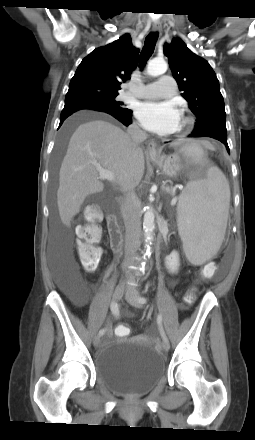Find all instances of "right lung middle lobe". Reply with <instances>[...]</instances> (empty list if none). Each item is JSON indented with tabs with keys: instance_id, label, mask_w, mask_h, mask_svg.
<instances>
[{
	"instance_id": "obj_1",
	"label": "right lung middle lobe",
	"mask_w": 255,
	"mask_h": 440,
	"mask_svg": "<svg viewBox=\"0 0 255 440\" xmlns=\"http://www.w3.org/2000/svg\"><path fill=\"white\" fill-rule=\"evenodd\" d=\"M117 95L118 94L92 93V94L83 96L79 99H65V103H72V102H77V101H87V102L104 104L106 106H110V107L115 108L117 110H128L127 108H125L123 106V104L121 102H117L115 100V97ZM67 134H68L67 131H65L62 134L60 146H62L65 143L66 138H67Z\"/></svg>"
}]
</instances>
